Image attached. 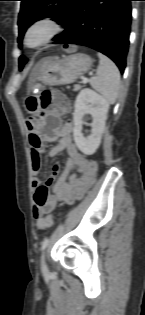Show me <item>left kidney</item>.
<instances>
[{
    "instance_id": "obj_1",
    "label": "left kidney",
    "mask_w": 145,
    "mask_h": 315,
    "mask_svg": "<svg viewBox=\"0 0 145 315\" xmlns=\"http://www.w3.org/2000/svg\"><path fill=\"white\" fill-rule=\"evenodd\" d=\"M74 107L73 137L75 144L82 153L92 155L101 142L109 103L95 91L86 88L76 97ZM86 114H90L93 118L91 134L88 137H84L82 134L83 117Z\"/></svg>"
}]
</instances>
